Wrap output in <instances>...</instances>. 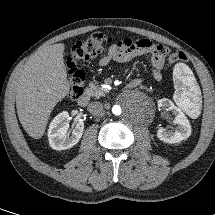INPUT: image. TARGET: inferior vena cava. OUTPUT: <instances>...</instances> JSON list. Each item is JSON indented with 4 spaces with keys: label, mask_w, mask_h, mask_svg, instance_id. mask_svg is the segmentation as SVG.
I'll return each mask as SVG.
<instances>
[{
    "label": "inferior vena cava",
    "mask_w": 215,
    "mask_h": 215,
    "mask_svg": "<svg viewBox=\"0 0 215 215\" xmlns=\"http://www.w3.org/2000/svg\"><path fill=\"white\" fill-rule=\"evenodd\" d=\"M88 111L94 116H98L103 112V104L101 102H91L88 105Z\"/></svg>",
    "instance_id": "1"
}]
</instances>
